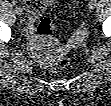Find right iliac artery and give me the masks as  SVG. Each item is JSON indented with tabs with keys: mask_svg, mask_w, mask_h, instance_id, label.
I'll return each instance as SVG.
<instances>
[{
	"mask_svg": "<svg viewBox=\"0 0 111 106\" xmlns=\"http://www.w3.org/2000/svg\"><path fill=\"white\" fill-rule=\"evenodd\" d=\"M12 3H13V5H15L16 7H18V6H17V1H13Z\"/></svg>",
	"mask_w": 111,
	"mask_h": 106,
	"instance_id": "82829eb1",
	"label": "right iliac artery"
}]
</instances>
